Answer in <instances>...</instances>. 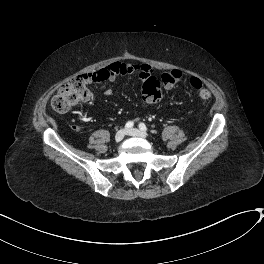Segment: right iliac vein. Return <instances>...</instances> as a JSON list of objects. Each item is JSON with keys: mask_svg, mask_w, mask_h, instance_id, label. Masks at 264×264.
I'll return each instance as SVG.
<instances>
[{"mask_svg": "<svg viewBox=\"0 0 264 264\" xmlns=\"http://www.w3.org/2000/svg\"><path fill=\"white\" fill-rule=\"evenodd\" d=\"M125 134H126V130H124V129L119 130V131L116 133V135H115V141H116L117 143H118V142H121V141L123 140Z\"/></svg>", "mask_w": 264, "mask_h": 264, "instance_id": "right-iliac-vein-1", "label": "right iliac vein"}]
</instances>
